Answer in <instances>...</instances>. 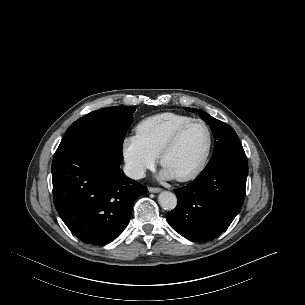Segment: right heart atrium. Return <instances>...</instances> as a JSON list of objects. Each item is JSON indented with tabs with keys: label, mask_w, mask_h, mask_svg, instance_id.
<instances>
[{
	"label": "right heart atrium",
	"mask_w": 305,
	"mask_h": 305,
	"mask_svg": "<svg viewBox=\"0 0 305 305\" xmlns=\"http://www.w3.org/2000/svg\"><path fill=\"white\" fill-rule=\"evenodd\" d=\"M122 154L129 174L141 178L146 170L154 167L157 157L137 136H128L122 143Z\"/></svg>",
	"instance_id": "1"
}]
</instances>
